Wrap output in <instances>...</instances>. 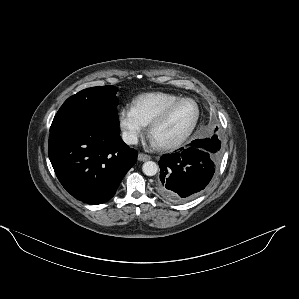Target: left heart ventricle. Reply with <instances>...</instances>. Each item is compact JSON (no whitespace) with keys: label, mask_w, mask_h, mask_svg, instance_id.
Listing matches in <instances>:
<instances>
[{"label":"left heart ventricle","mask_w":299,"mask_h":299,"mask_svg":"<svg viewBox=\"0 0 299 299\" xmlns=\"http://www.w3.org/2000/svg\"><path fill=\"white\" fill-rule=\"evenodd\" d=\"M196 107L191 101H183L173 109L168 118L157 127L152 138L158 143L172 141L183 135L191 126Z\"/></svg>","instance_id":"1"}]
</instances>
